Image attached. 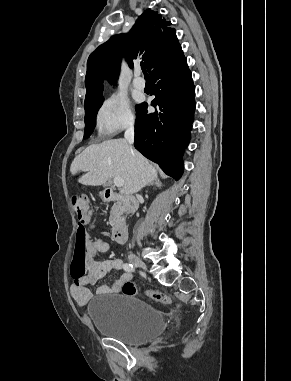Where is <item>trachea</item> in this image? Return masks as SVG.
Instances as JSON below:
<instances>
[{"label": "trachea", "mask_w": 291, "mask_h": 381, "mask_svg": "<svg viewBox=\"0 0 291 381\" xmlns=\"http://www.w3.org/2000/svg\"><path fill=\"white\" fill-rule=\"evenodd\" d=\"M141 69H142V71H143L145 77H148L147 70H146V65H145V64H142V65H141Z\"/></svg>", "instance_id": "3493384b"}]
</instances>
